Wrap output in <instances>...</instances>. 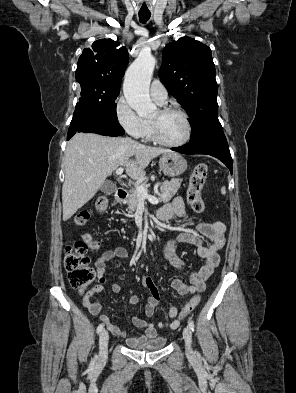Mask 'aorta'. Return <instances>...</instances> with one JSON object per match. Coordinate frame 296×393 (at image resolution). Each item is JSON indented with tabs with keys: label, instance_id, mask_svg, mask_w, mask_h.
Masks as SVG:
<instances>
[{
	"label": "aorta",
	"instance_id": "aorta-1",
	"mask_svg": "<svg viewBox=\"0 0 296 393\" xmlns=\"http://www.w3.org/2000/svg\"><path fill=\"white\" fill-rule=\"evenodd\" d=\"M155 63V58L151 54L140 53L125 74L123 84L125 99L140 117L148 116L157 110L149 96Z\"/></svg>",
	"mask_w": 296,
	"mask_h": 393
}]
</instances>
